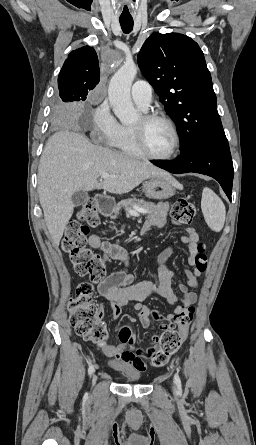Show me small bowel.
I'll return each mask as SVG.
<instances>
[{"instance_id": "c3829d8e", "label": "small bowel", "mask_w": 256, "mask_h": 445, "mask_svg": "<svg viewBox=\"0 0 256 445\" xmlns=\"http://www.w3.org/2000/svg\"><path fill=\"white\" fill-rule=\"evenodd\" d=\"M169 209L167 202H159L154 212L149 216L144 225V229L148 230L153 227H162L166 224V216ZM185 235L181 237V242L189 248L188 263L195 264V258L198 254L199 237L192 227L184 229ZM91 248L99 250L112 259L122 262L126 266L130 264V260L126 252L116 244L103 241L99 235H91L88 239ZM173 252L172 246L165 247L158 256V264L160 273L158 280L142 281L133 283V276L126 271L110 272L104 280L98 284V292L110 301V310L114 320H117L123 308L132 305L134 312L138 315L141 324L145 327L151 323V318L161 322L163 331L175 327L176 316L185 308L194 304L197 300L195 292L190 288H197L199 277L202 272L200 270L186 269V279L183 283L178 284L180 294L174 291L173 279L174 272L167 266L166 262ZM150 295H157L166 299L170 304L175 305V310L166 315H161L158 311L143 306L140 301ZM103 309V308H102ZM105 309H103V315ZM188 334V328L185 329V337ZM160 342V336H153L151 341L143 349L133 350L122 344H103L102 352L108 357H115L112 363L113 367H124L131 371L143 372L146 369L144 358L151 355L152 351Z\"/></svg>"}]
</instances>
